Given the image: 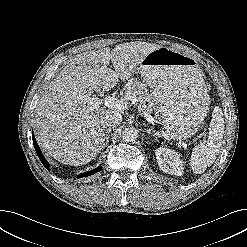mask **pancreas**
Returning <instances> with one entry per match:
<instances>
[{
    "mask_svg": "<svg viewBox=\"0 0 247 247\" xmlns=\"http://www.w3.org/2000/svg\"><path fill=\"white\" fill-rule=\"evenodd\" d=\"M124 98L130 96H135L137 98V102L139 105L140 112L151 113L155 108V102L152 94L149 93L148 89H146L145 85L138 80L129 81L124 88Z\"/></svg>",
    "mask_w": 247,
    "mask_h": 247,
    "instance_id": "1",
    "label": "pancreas"
}]
</instances>
